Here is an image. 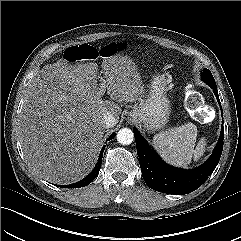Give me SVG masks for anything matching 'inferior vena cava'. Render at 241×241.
Wrapping results in <instances>:
<instances>
[{
	"instance_id": "obj_1",
	"label": "inferior vena cava",
	"mask_w": 241,
	"mask_h": 241,
	"mask_svg": "<svg viewBox=\"0 0 241 241\" xmlns=\"http://www.w3.org/2000/svg\"><path fill=\"white\" fill-rule=\"evenodd\" d=\"M117 123L115 116L109 112L103 114L101 124L103 128L113 127Z\"/></svg>"
}]
</instances>
